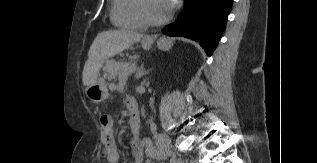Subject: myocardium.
Here are the masks:
<instances>
[{
	"label": "myocardium",
	"instance_id": "obj_1",
	"mask_svg": "<svg viewBox=\"0 0 317 163\" xmlns=\"http://www.w3.org/2000/svg\"><path fill=\"white\" fill-rule=\"evenodd\" d=\"M138 10L141 18L143 21L150 26H161L166 24L170 19L172 14L169 13L166 17L162 19H155L153 18L147 10L146 1L145 0H138Z\"/></svg>",
	"mask_w": 317,
	"mask_h": 163
}]
</instances>
